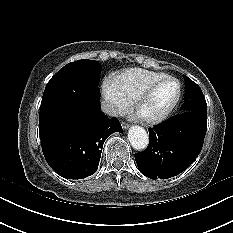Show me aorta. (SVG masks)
I'll use <instances>...</instances> for the list:
<instances>
[{
    "label": "aorta",
    "mask_w": 233,
    "mask_h": 233,
    "mask_svg": "<svg viewBox=\"0 0 233 233\" xmlns=\"http://www.w3.org/2000/svg\"><path fill=\"white\" fill-rule=\"evenodd\" d=\"M128 139L135 150H144L149 143L146 130L138 125L132 126L128 131Z\"/></svg>",
    "instance_id": "1"
}]
</instances>
